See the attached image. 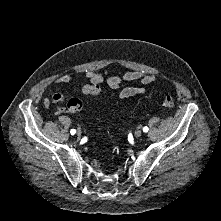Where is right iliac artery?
I'll use <instances>...</instances> for the list:
<instances>
[{"mask_svg": "<svg viewBox=\"0 0 221 221\" xmlns=\"http://www.w3.org/2000/svg\"><path fill=\"white\" fill-rule=\"evenodd\" d=\"M70 133H71V135H74L76 133V130L75 129H71Z\"/></svg>", "mask_w": 221, "mask_h": 221, "instance_id": "right-iliac-artery-1", "label": "right iliac artery"}]
</instances>
